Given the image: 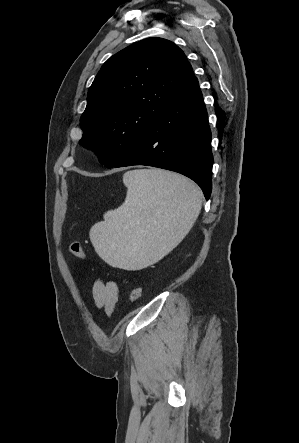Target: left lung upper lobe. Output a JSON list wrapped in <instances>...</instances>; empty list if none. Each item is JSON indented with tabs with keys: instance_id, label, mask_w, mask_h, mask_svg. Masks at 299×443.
Masks as SVG:
<instances>
[{
	"instance_id": "5c2ea615",
	"label": "left lung upper lobe",
	"mask_w": 299,
	"mask_h": 443,
	"mask_svg": "<svg viewBox=\"0 0 299 443\" xmlns=\"http://www.w3.org/2000/svg\"><path fill=\"white\" fill-rule=\"evenodd\" d=\"M194 77L173 42L147 38L110 57L89 88L80 144L112 168Z\"/></svg>"
}]
</instances>
